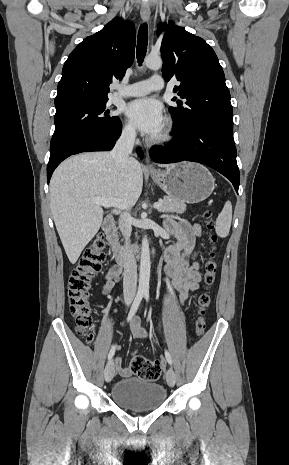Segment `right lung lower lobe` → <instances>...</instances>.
<instances>
[{
    "label": "right lung lower lobe",
    "mask_w": 289,
    "mask_h": 465,
    "mask_svg": "<svg viewBox=\"0 0 289 465\" xmlns=\"http://www.w3.org/2000/svg\"><path fill=\"white\" fill-rule=\"evenodd\" d=\"M121 130L122 124L120 121L109 132H91L80 135L55 151L50 152L47 166V182L49 183L55 168L67 157L81 152L111 150L115 145V141L119 138ZM137 153L140 157L143 156L140 149H137Z\"/></svg>",
    "instance_id": "1"
}]
</instances>
